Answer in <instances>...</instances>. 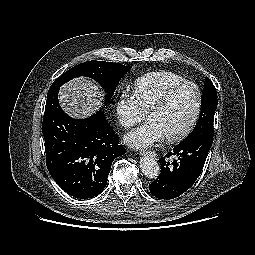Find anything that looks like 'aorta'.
<instances>
[{
	"label": "aorta",
	"instance_id": "aorta-1",
	"mask_svg": "<svg viewBox=\"0 0 255 255\" xmlns=\"http://www.w3.org/2000/svg\"><path fill=\"white\" fill-rule=\"evenodd\" d=\"M140 168L149 179H156L160 174V166L152 154H147L140 159Z\"/></svg>",
	"mask_w": 255,
	"mask_h": 255
}]
</instances>
